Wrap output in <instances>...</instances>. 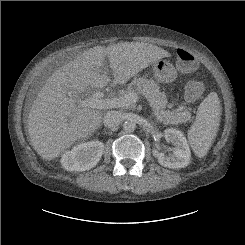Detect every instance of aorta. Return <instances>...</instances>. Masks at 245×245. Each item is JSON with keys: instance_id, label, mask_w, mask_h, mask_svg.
<instances>
[{"instance_id": "aorta-1", "label": "aorta", "mask_w": 245, "mask_h": 245, "mask_svg": "<svg viewBox=\"0 0 245 245\" xmlns=\"http://www.w3.org/2000/svg\"><path fill=\"white\" fill-rule=\"evenodd\" d=\"M135 128H136V124L132 121H126L123 124L124 131H126L128 133L133 132L135 130Z\"/></svg>"}]
</instances>
